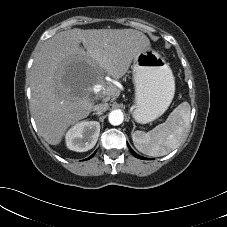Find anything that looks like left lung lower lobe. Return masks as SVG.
<instances>
[{
	"label": "left lung lower lobe",
	"instance_id": "0a47b994",
	"mask_svg": "<svg viewBox=\"0 0 227 227\" xmlns=\"http://www.w3.org/2000/svg\"><path fill=\"white\" fill-rule=\"evenodd\" d=\"M128 145V144H127ZM128 147H129V150L131 151V153L135 156V157H137V158H139V159H145L144 157H142V156H140V155H138L137 153H135L132 149H131V147L128 145Z\"/></svg>",
	"mask_w": 227,
	"mask_h": 227
}]
</instances>
